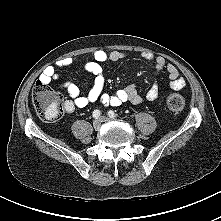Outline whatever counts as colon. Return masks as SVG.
<instances>
[{
    "label": "colon",
    "instance_id": "colon-1",
    "mask_svg": "<svg viewBox=\"0 0 221 221\" xmlns=\"http://www.w3.org/2000/svg\"><path fill=\"white\" fill-rule=\"evenodd\" d=\"M32 104L37 114L47 121L59 119L64 111L61 97L41 81L33 87ZM166 106L170 111L179 113L185 107V100L178 94H170L166 98Z\"/></svg>",
    "mask_w": 221,
    "mask_h": 221
}]
</instances>
